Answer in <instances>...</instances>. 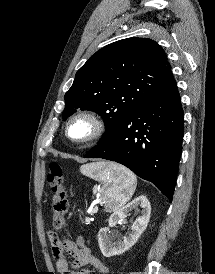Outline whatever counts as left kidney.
<instances>
[{"label": "left kidney", "instance_id": "1", "mask_svg": "<svg viewBox=\"0 0 215 274\" xmlns=\"http://www.w3.org/2000/svg\"><path fill=\"white\" fill-rule=\"evenodd\" d=\"M138 206L142 208L141 215L134 221L130 233L124 237L111 235L109 227H113L117 222L125 219L128 213L133 209L137 210ZM150 214L151 205L144 195L135 198L124 207L115 211L109 218V227L101 228L98 233V243L103 256L112 257L120 255L131 248L146 229Z\"/></svg>", "mask_w": 215, "mask_h": 274}]
</instances>
